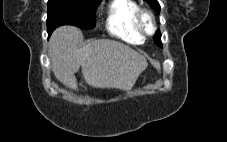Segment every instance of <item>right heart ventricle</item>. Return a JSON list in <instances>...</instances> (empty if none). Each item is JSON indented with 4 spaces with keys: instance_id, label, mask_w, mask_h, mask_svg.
Instances as JSON below:
<instances>
[{
    "instance_id": "1",
    "label": "right heart ventricle",
    "mask_w": 227,
    "mask_h": 142,
    "mask_svg": "<svg viewBox=\"0 0 227 142\" xmlns=\"http://www.w3.org/2000/svg\"><path fill=\"white\" fill-rule=\"evenodd\" d=\"M139 11L140 5L136 0H110L106 8V29L128 43H142L144 35L137 24Z\"/></svg>"
}]
</instances>
